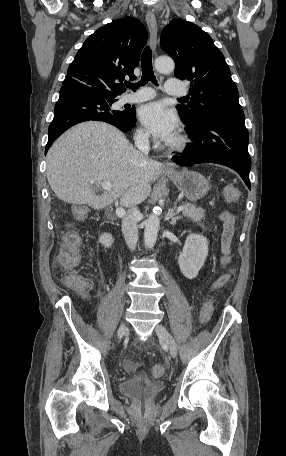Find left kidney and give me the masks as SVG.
Listing matches in <instances>:
<instances>
[{
  "mask_svg": "<svg viewBox=\"0 0 286 456\" xmlns=\"http://www.w3.org/2000/svg\"><path fill=\"white\" fill-rule=\"evenodd\" d=\"M208 244L207 238L203 235L190 234L187 236L182 253L178 258L180 270L186 278L197 277L208 256Z\"/></svg>",
  "mask_w": 286,
  "mask_h": 456,
  "instance_id": "5707ae66",
  "label": "left kidney"
}]
</instances>
